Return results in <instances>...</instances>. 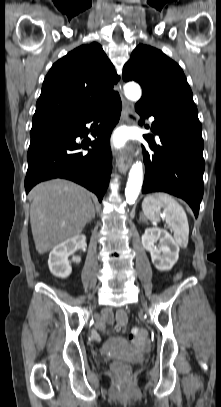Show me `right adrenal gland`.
<instances>
[{"label": "right adrenal gland", "mask_w": 221, "mask_h": 407, "mask_svg": "<svg viewBox=\"0 0 221 407\" xmlns=\"http://www.w3.org/2000/svg\"><path fill=\"white\" fill-rule=\"evenodd\" d=\"M94 218H95V208H94V206H93V215H92V218H91L87 223H90L91 220L94 219Z\"/></svg>", "instance_id": "obj_1"}]
</instances>
